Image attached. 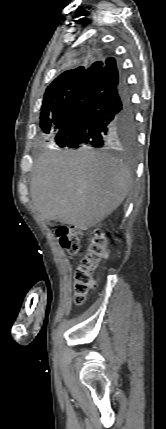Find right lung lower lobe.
<instances>
[{
	"mask_svg": "<svg viewBox=\"0 0 166 429\" xmlns=\"http://www.w3.org/2000/svg\"><path fill=\"white\" fill-rule=\"evenodd\" d=\"M134 124L126 74L109 57L86 69L55 140L60 147H101L117 129Z\"/></svg>",
	"mask_w": 166,
	"mask_h": 429,
	"instance_id": "obj_1",
	"label": "right lung lower lobe"
}]
</instances>
